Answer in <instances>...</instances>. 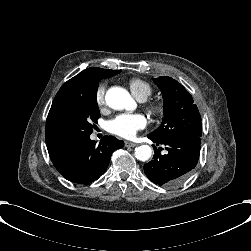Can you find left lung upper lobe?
<instances>
[{
  "label": "left lung upper lobe",
  "instance_id": "5c2ea615",
  "mask_svg": "<svg viewBox=\"0 0 251 251\" xmlns=\"http://www.w3.org/2000/svg\"><path fill=\"white\" fill-rule=\"evenodd\" d=\"M164 99V118L160 127L150 135L161 141L184 136L202 135L201 116L192 96L171 77L153 79Z\"/></svg>",
  "mask_w": 251,
  "mask_h": 251
}]
</instances>
